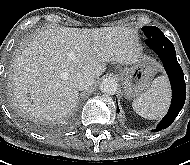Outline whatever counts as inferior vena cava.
I'll use <instances>...</instances> for the list:
<instances>
[{
  "mask_svg": "<svg viewBox=\"0 0 190 165\" xmlns=\"http://www.w3.org/2000/svg\"><path fill=\"white\" fill-rule=\"evenodd\" d=\"M73 80L78 90L87 89L94 83V77L88 73H78Z\"/></svg>",
  "mask_w": 190,
  "mask_h": 165,
  "instance_id": "obj_1",
  "label": "inferior vena cava"
}]
</instances>
